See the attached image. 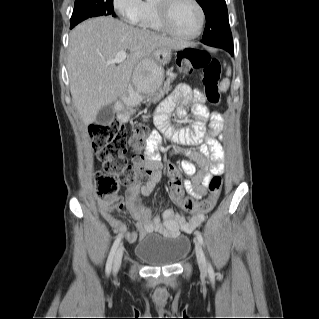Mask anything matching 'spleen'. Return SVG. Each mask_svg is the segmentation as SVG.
I'll return each mask as SVG.
<instances>
[{
  "instance_id": "obj_1",
  "label": "spleen",
  "mask_w": 319,
  "mask_h": 319,
  "mask_svg": "<svg viewBox=\"0 0 319 319\" xmlns=\"http://www.w3.org/2000/svg\"><path fill=\"white\" fill-rule=\"evenodd\" d=\"M231 74V69L228 68L227 70V75L229 76ZM229 85H230V81L229 79H223L222 82L220 83V86H219V90L221 92H226L229 88Z\"/></svg>"
}]
</instances>
